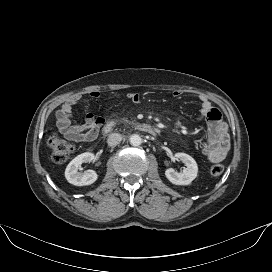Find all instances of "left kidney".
Listing matches in <instances>:
<instances>
[{
	"instance_id": "1",
	"label": "left kidney",
	"mask_w": 272,
	"mask_h": 272,
	"mask_svg": "<svg viewBox=\"0 0 272 272\" xmlns=\"http://www.w3.org/2000/svg\"><path fill=\"white\" fill-rule=\"evenodd\" d=\"M174 158L185 164L182 172L178 173L173 168H168L165 171L166 178L175 185H188L198 174V166L196 161L186 153H176Z\"/></svg>"
}]
</instances>
